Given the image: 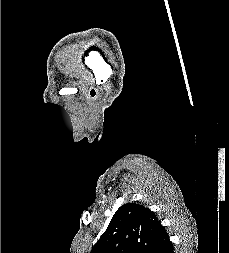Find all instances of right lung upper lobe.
<instances>
[{"label": "right lung upper lobe", "instance_id": "cb5924a9", "mask_svg": "<svg viewBox=\"0 0 229 253\" xmlns=\"http://www.w3.org/2000/svg\"><path fill=\"white\" fill-rule=\"evenodd\" d=\"M170 242L154 212L127 203L115 212L91 253H159Z\"/></svg>", "mask_w": 229, "mask_h": 253}]
</instances>
